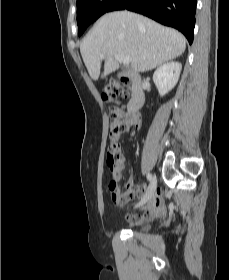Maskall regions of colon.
Segmentation results:
<instances>
[{"label": "colon", "instance_id": "1", "mask_svg": "<svg viewBox=\"0 0 229 280\" xmlns=\"http://www.w3.org/2000/svg\"><path fill=\"white\" fill-rule=\"evenodd\" d=\"M131 85L132 81L127 77L121 79L120 81H113L109 83L103 90L104 100L111 103L117 102L119 97L125 96ZM131 126V121L123 117V111L119 107L114 106L110 111V143L107 148V165L110 173L115 166L114 157L120 149V135L127 132ZM112 187H116L115 182Z\"/></svg>", "mask_w": 229, "mask_h": 280}]
</instances>
